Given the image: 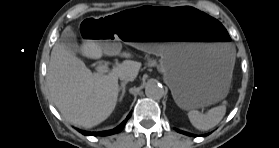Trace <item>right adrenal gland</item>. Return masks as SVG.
I'll return each mask as SVG.
<instances>
[{
    "mask_svg": "<svg viewBox=\"0 0 279 148\" xmlns=\"http://www.w3.org/2000/svg\"><path fill=\"white\" fill-rule=\"evenodd\" d=\"M127 83H128L127 81L122 82L120 87H119V92L121 91L120 98H119L120 102L123 100V97L125 95V91H126L125 86H126Z\"/></svg>",
    "mask_w": 279,
    "mask_h": 148,
    "instance_id": "1",
    "label": "right adrenal gland"
}]
</instances>
